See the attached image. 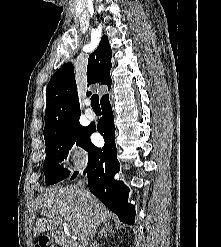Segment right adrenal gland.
Returning <instances> with one entry per match:
<instances>
[{
    "instance_id": "obj_1",
    "label": "right adrenal gland",
    "mask_w": 221,
    "mask_h": 247,
    "mask_svg": "<svg viewBox=\"0 0 221 247\" xmlns=\"http://www.w3.org/2000/svg\"><path fill=\"white\" fill-rule=\"evenodd\" d=\"M107 232H110L111 234H113V228H112V225H110L109 223H104V226L101 229L98 237L102 238L103 236H107Z\"/></svg>"
}]
</instances>
